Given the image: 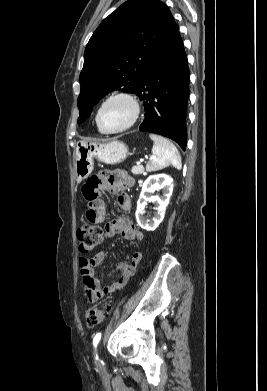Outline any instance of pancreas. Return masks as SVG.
Instances as JSON below:
<instances>
[{
	"label": "pancreas",
	"mask_w": 267,
	"mask_h": 391,
	"mask_svg": "<svg viewBox=\"0 0 267 391\" xmlns=\"http://www.w3.org/2000/svg\"><path fill=\"white\" fill-rule=\"evenodd\" d=\"M131 172L133 175H139V174H142L144 173V167L143 166H133L132 169H131Z\"/></svg>",
	"instance_id": "pancreas-1"
}]
</instances>
